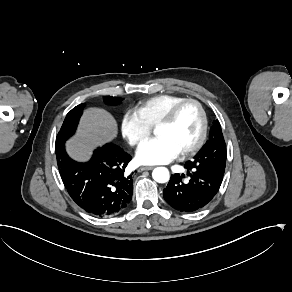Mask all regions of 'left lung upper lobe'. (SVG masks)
<instances>
[{
  "label": "left lung upper lobe",
  "mask_w": 292,
  "mask_h": 292,
  "mask_svg": "<svg viewBox=\"0 0 292 292\" xmlns=\"http://www.w3.org/2000/svg\"><path fill=\"white\" fill-rule=\"evenodd\" d=\"M188 162L200 166L203 170L225 171L226 145L218 120L213 121L209 140L194 156L193 160Z\"/></svg>",
  "instance_id": "5c2ea615"
}]
</instances>
